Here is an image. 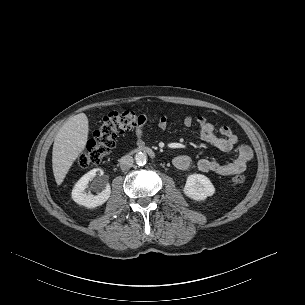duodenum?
I'll list each match as a JSON object with an SVG mask.
<instances>
[{
  "label": "duodenum",
  "mask_w": 305,
  "mask_h": 305,
  "mask_svg": "<svg viewBox=\"0 0 305 305\" xmlns=\"http://www.w3.org/2000/svg\"><path fill=\"white\" fill-rule=\"evenodd\" d=\"M133 151H135V152L143 151V152H146V153L151 154V155L154 154L153 150L151 148L147 147V146H139L137 148H134Z\"/></svg>",
  "instance_id": "obj_1"
}]
</instances>
